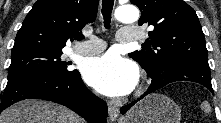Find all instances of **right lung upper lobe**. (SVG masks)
Instances as JSON below:
<instances>
[{
	"instance_id": "obj_1",
	"label": "right lung upper lobe",
	"mask_w": 221,
	"mask_h": 123,
	"mask_svg": "<svg viewBox=\"0 0 221 123\" xmlns=\"http://www.w3.org/2000/svg\"><path fill=\"white\" fill-rule=\"evenodd\" d=\"M99 0H38L23 21L12 52L62 50L68 40H81V29L93 22Z\"/></svg>"
}]
</instances>
